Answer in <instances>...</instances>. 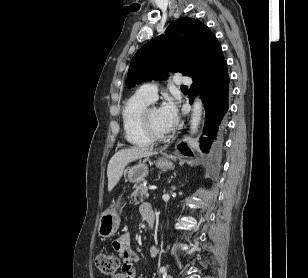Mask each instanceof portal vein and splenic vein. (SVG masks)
Instances as JSON below:
<instances>
[{
	"instance_id": "18ae733b",
	"label": "portal vein and splenic vein",
	"mask_w": 308,
	"mask_h": 278,
	"mask_svg": "<svg viewBox=\"0 0 308 278\" xmlns=\"http://www.w3.org/2000/svg\"><path fill=\"white\" fill-rule=\"evenodd\" d=\"M149 189L150 190H155V189H157V187L155 185H152V186L149 187Z\"/></svg>"
}]
</instances>
